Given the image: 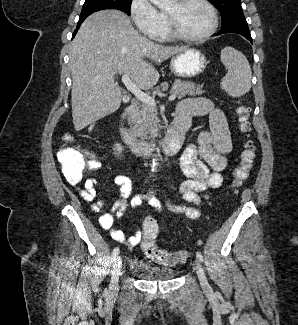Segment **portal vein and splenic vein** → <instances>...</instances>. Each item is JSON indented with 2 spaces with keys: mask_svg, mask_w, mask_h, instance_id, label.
<instances>
[{
  "mask_svg": "<svg viewBox=\"0 0 298 325\" xmlns=\"http://www.w3.org/2000/svg\"><path fill=\"white\" fill-rule=\"evenodd\" d=\"M122 82H124L126 88L132 92V94H135L139 100H142L144 104H151V106H156L157 102L153 96H150V94H146V92H143V90H140L132 80L129 78V74H122L121 76ZM162 96H167V94H162ZM177 98V92H171L170 96H168V100H175Z\"/></svg>",
  "mask_w": 298,
  "mask_h": 325,
  "instance_id": "obj_1",
  "label": "portal vein and splenic vein"
}]
</instances>
